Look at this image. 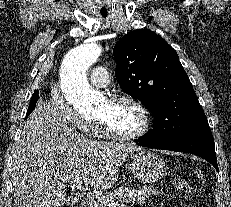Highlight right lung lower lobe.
<instances>
[{
    "label": "right lung lower lobe",
    "instance_id": "98d812e1",
    "mask_svg": "<svg viewBox=\"0 0 231 207\" xmlns=\"http://www.w3.org/2000/svg\"><path fill=\"white\" fill-rule=\"evenodd\" d=\"M37 100H38V93H35V94H33L32 98H31L30 105H29V108L27 110L26 118L29 116V114L35 108Z\"/></svg>",
    "mask_w": 231,
    "mask_h": 207
}]
</instances>
